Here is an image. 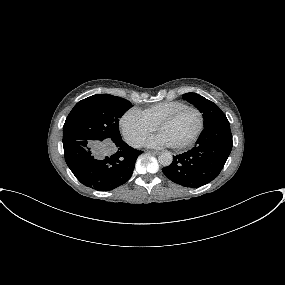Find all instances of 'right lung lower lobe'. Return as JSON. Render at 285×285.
I'll use <instances>...</instances> for the list:
<instances>
[{
    "instance_id": "obj_1",
    "label": "right lung lower lobe",
    "mask_w": 285,
    "mask_h": 285,
    "mask_svg": "<svg viewBox=\"0 0 285 285\" xmlns=\"http://www.w3.org/2000/svg\"><path fill=\"white\" fill-rule=\"evenodd\" d=\"M114 153L104 149V143L72 140L64 143L65 161L75 177L85 186L98 191H110L131 177L135 161L142 153L122 139L113 141Z\"/></svg>"
}]
</instances>
